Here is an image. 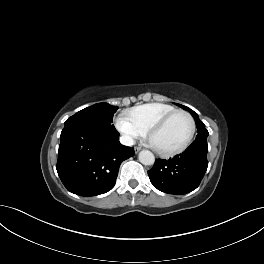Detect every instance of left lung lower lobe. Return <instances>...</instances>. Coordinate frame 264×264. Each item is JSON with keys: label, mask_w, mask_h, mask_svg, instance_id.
<instances>
[{"label": "left lung lower lobe", "mask_w": 264, "mask_h": 264, "mask_svg": "<svg viewBox=\"0 0 264 264\" xmlns=\"http://www.w3.org/2000/svg\"><path fill=\"white\" fill-rule=\"evenodd\" d=\"M207 141H194L180 155L169 160L157 159L148 175L158 190L169 194H186L195 190L207 167Z\"/></svg>", "instance_id": "0a47b994"}]
</instances>
